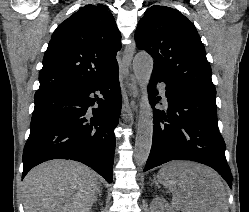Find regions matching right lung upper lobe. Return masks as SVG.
I'll use <instances>...</instances> for the list:
<instances>
[{"label":"right lung upper lobe","instance_id":"1","mask_svg":"<svg viewBox=\"0 0 249 212\" xmlns=\"http://www.w3.org/2000/svg\"><path fill=\"white\" fill-rule=\"evenodd\" d=\"M120 39L107 6L86 5L79 9L54 31L35 96L95 83L117 69L115 56L121 48Z\"/></svg>","mask_w":249,"mask_h":212}]
</instances>
